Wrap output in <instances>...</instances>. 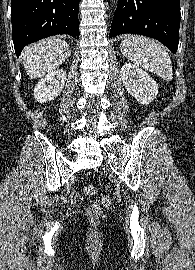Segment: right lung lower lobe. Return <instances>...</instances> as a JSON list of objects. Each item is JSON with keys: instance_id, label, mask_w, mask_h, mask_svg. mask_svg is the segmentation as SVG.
<instances>
[{"instance_id": "obj_1", "label": "right lung lower lobe", "mask_w": 195, "mask_h": 270, "mask_svg": "<svg viewBox=\"0 0 195 270\" xmlns=\"http://www.w3.org/2000/svg\"><path fill=\"white\" fill-rule=\"evenodd\" d=\"M79 0H11L16 55L35 41L57 34L79 38Z\"/></svg>"}]
</instances>
